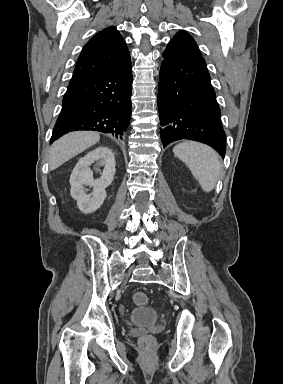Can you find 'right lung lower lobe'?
Instances as JSON below:
<instances>
[{"label": "right lung lower lobe", "instance_id": "right-lung-lower-lobe-1", "mask_svg": "<svg viewBox=\"0 0 283 384\" xmlns=\"http://www.w3.org/2000/svg\"><path fill=\"white\" fill-rule=\"evenodd\" d=\"M131 95V64L70 83L50 143L76 130L121 136L131 118Z\"/></svg>", "mask_w": 283, "mask_h": 384}]
</instances>
